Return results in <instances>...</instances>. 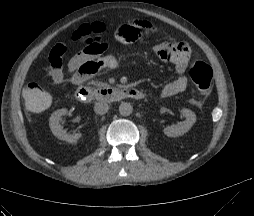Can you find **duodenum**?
<instances>
[{"instance_id": "1", "label": "duodenum", "mask_w": 254, "mask_h": 216, "mask_svg": "<svg viewBox=\"0 0 254 216\" xmlns=\"http://www.w3.org/2000/svg\"><path fill=\"white\" fill-rule=\"evenodd\" d=\"M76 98L82 103H87L92 100H98L103 102H116L124 98L142 99L143 93L140 90L131 89H117L113 87L105 88H92V87H80L76 90Z\"/></svg>"}]
</instances>
